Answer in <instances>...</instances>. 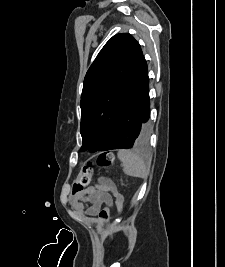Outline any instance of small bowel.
Wrapping results in <instances>:
<instances>
[{
  "mask_svg": "<svg viewBox=\"0 0 225 267\" xmlns=\"http://www.w3.org/2000/svg\"><path fill=\"white\" fill-rule=\"evenodd\" d=\"M113 198L118 207V199L123 198V195L111 179L101 178L96 186H90L85 191L75 193L72 196V205L77 211L93 217L103 205L112 206ZM118 210L121 209L118 207Z\"/></svg>",
  "mask_w": 225,
  "mask_h": 267,
  "instance_id": "1",
  "label": "small bowel"
}]
</instances>
